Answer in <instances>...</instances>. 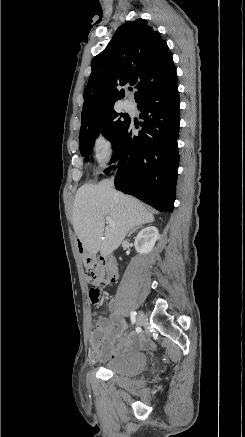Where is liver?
<instances>
[{"label":"liver","mask_w":245,"mask_h":437,"mask_svg":"<svg viewBox=\"0 0 245 437\" xmlns=\"http://www.w3.org/2000/svg\"><path fill=\"white\" fill-rule=\"evenodd\" d=\"M110 217L115 226H105ZM154 221V216L137 199L113 188L110 180L85 184L76 195L72 211L74 231L84 249L106 256L116 250L129 230Z\"/></svg>","instance_id":"1"}]
</instances>
